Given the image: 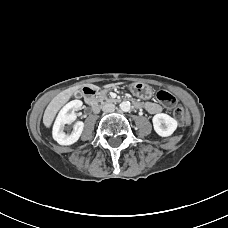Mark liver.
<instances>
[{
    "label": "liver",
    "instance_id": "6515ba94",
    "mask_svg": "<svg viewBox=\"0 0 228 228\" xmlns=\"http://www.w3.org/2000/svg\"><path fill=\"white\" fill-rule=\"evenodd\" d=\"M91 88L97 89L94 85H88ZM80 86H75L69 89H66L60 92L57 96H55L51 102L48 104L44 116H43V123L46 128H50L56 113L59 109L71 98V96L78 91Z\"/></svg>",
    "mask_w": 228,
    "mask_h": 228
}]
</instances>
